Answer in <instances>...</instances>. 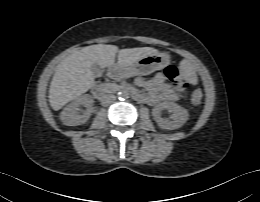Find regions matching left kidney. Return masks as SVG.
Instances as JSON below:
<instances>
[{
    "label": "left kidney",
    "mask_w": 260,
    "mask_h": 202,
    "mask_svg": "<svg viewBox=\"0 0 260 202\" xmlns=\"http://www.w3.org/2000/svg\"><path fill=\"white\" fill-rule=\"evenodd\" d=\"M167 110L172 114L171 119H163L161 112ZM153 117L159 127L166 130H174L180 128L189 119L187 109L173 102H162L156 105L152 111Z\"/></svg>",
    "instance_id": "1"
}]
</instances>
